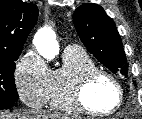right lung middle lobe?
<instances>
[{
	"instance_id": "1",
	"label": "right lung middle lobe",
	"mask_w": 142,
	"mask_h": 119,
	"mask_svg": "<svg viewBox=\"0 0 142 119\" xmlns=\"http://www.w3.org/2000/svg\"><path fill=\"white\" fill-rule=\"evenodd\" d=\"M20 53L0 56V104H14L19 96L15 86L14 70Z\"/></svg>"
}]
</instances>
